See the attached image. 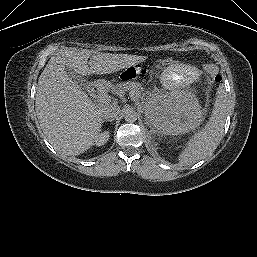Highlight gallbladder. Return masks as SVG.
Segmentation results:
<instances>
[{"instance_id":"gallbladder-1","label":"gallbladder","mask_w":257,"mask_h":257,"mask_svg":"<svg viewBox=\"0 0 257 257\" xmlns=\"http://www.w3.org/2000/svg\"><path fill=\"white\" fill-rule=\"evenodd\" d=\"M66 72L68 76L77 84L79 85L82 89H86L88 86V81L81 75L77 74L74 70L71 68L67 67Z\"/></svg>"}]
</instances>
